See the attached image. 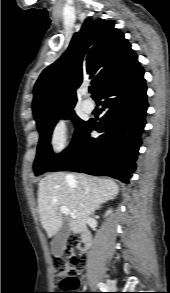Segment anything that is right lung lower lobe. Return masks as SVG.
I'll list each match as a JSON object with an SVG mask.
<instances>
[{
  "instance_id": "obj_1",
  "label": "right lung lower lobe",
  "mask_w": 170,
  "mask_h": 293,
  "mask_svg": "<svg viewBox=\"0 0 170 293\" xmlns=\"http://www.w3.org/2000/svg\"><path fill=\"white\" fill-rule=\"evenodd\" d=\"M143 75L139 66L102 88L95 99L103 106L102 118L99 122H85L67 151L49 171L110 176L129 183L136 169L135 160L148 108ZM92 130L101 135L91 137Z\"/></svg>"
}]
</instances>
